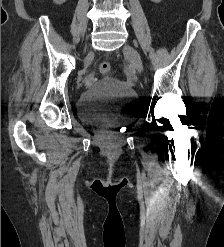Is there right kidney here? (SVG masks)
<instances>
[{
  "mask_svg": "<svg viewBox=\"0 0 224 247\" xmlns=\"http://www.w3.org/2000/svg\"><path fill=\"white\" fill-rule=\"evenodd\" d=\"M53 2H55V4H64V2H66V0H53Z\"/></svg>",
  "mask_w": 224,
  "mask_h": 247,
  "instance_id": "obj_1",
  "label": "right kidney"
}]
</instances>
